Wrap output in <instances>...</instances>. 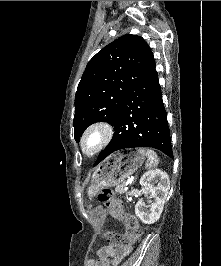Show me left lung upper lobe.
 I'll list each match as a JSON object with an SVG mask.
<instances>
[{"label":"left lung upper lobe","instance_id":"left-lung-upper-lobe-1","mask_svg":"<svg viewBox=\"0 0 221 266\" xmlns=\"http://www.w3.org/2000/svg\"><path fill=\"white\" fill-rule=\"evenodd\" d=\"M149 45L126 34L105 46L87 64L75 95L74 138L91 124L113 125L132 87L155 70Z\"/></svg>","mask_w":221,"mask_h":266}]
</instances>
